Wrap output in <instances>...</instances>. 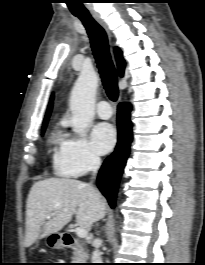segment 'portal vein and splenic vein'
Masks as SVG:
<instances>
[{
    "mask_svg": "<svg viewBox=\"0 0 205 265\" xmlns=\"http://www.w3.org/2000/svg\"><path fill=\"white\" fill-rule=\"evenodd\" d=\"M48 218H50V217H48ZM75 232H76L77 236L80 237V238H85L88 235L87 230H85L82 227H77L75 229Z\"/></svg>",
    "mask_w": 205,
    "mask_h": 265,
    "instance_id": "obj_1",
    "label": "portal vein and splenic vein"
}]
</instances>
